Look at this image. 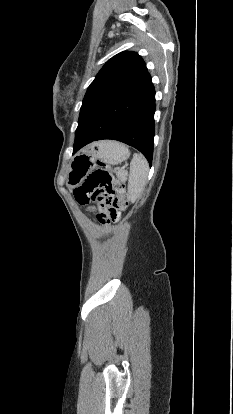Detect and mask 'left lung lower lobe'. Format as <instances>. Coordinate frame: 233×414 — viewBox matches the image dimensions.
I'll return each instance as SVG.
<instances>
[{
	"mask_svg": "<svg viewBox=\"0 0 233 414\" xmlns=\"http://www.w3.org/2000/svg\"><path fill=\"white\" fill-rule=\"evenodd\" d=\"M155 90L149 73L126 89L88 105L79 116L73 153L97 140L113 139L139 150L152 163Z\"/></svg>",
	"mask_w": 233,
	"mask_h": 414,
	"instance_id": "1",
	"label": "left lung lower lobe"
}]
</instances>
